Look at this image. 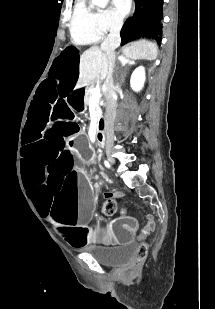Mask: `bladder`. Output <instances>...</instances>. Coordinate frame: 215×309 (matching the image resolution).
Masks as SVG:
<instances>
[{"instance_id": "bladder-1", "label": "bladder", "mask_w": 215, "mask_h": 309, "mask_svg": "<svg viewBox=\"0 0 215 309\" xmlns=\"http://www.w3.org/2000/svg\"><path fill=\"white\" fill-rule=\"evenodd\" d=\"M136 248L133 244L125 245L115 251L95 256L97 261L109 267L127 265L135 257Z\"/></svg>"}]
</instances>
